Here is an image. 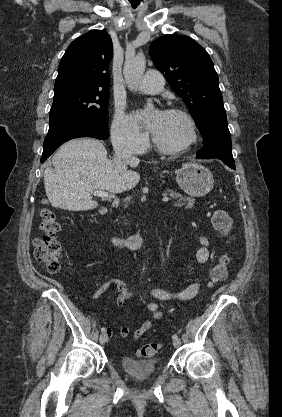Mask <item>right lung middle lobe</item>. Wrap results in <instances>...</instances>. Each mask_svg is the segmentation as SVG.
Masks as SVG:
<instances>
[{
  "mask_svg": "<svg viewBox=\"0 0 282 417\" xmlns=\"http://www.w3.org/2000/svg\"><path fill=\"white\" fill-rule=\"evenodd\" d=\"M109 91L93 88L55 92L49 126L71 119H85L108 130Z\"/></svg>",
  "mask_w": 282,
  "mask_h": 417,
  "instance_id": "right-lung-middle-lobe-1",
  "label": "right lung middle lobe"
}]
</instances>
